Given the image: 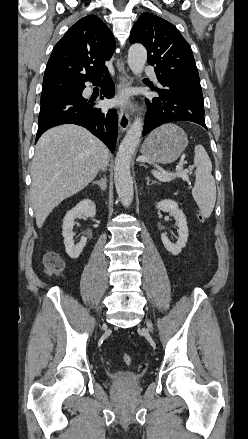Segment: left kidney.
<instances>
[{
  "label": "left kidney",
  "mask_w": 248,
  "mask_h": 439,
  "mask_svg": "<svg viewBox=\"0 0 248 439\" xmlns=\"http://www.w3.org/2000/svg\"><path fill=\"white\" fill-rule=\"evenodd\" d=\"M156 208L162 210L163 212H169L176 220V225L178 227V240L176 243H172L166 233L161 234V240L164 247L172 255H178L182 248L186 246L188 240V227L186 217L182 210L179 209L178 204L170 199L161 200L156 203Z\"/></svg>",
  "instance_id": "left-kidney-1"
}]
</instances>
